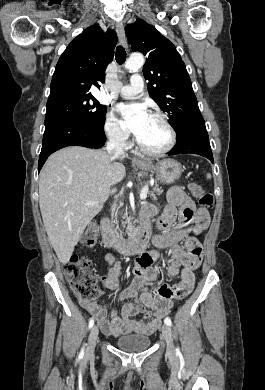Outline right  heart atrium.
<instances>
[{"label":"right heart atrium","mask_w":265,"mask_h":390,"mask_svg":"<svg viewBox=\"0 0 265 390\" xmlns=\"http://www.w3.org/2000/svg\"><path fill=\"white\" fill-rule=\"evenodd\" d=\"M104 131L109 140L116 145L122 148L129 146V133L112 112H108L106 115Z\"/></svg>","instance_id":"d8ad5b80"}]
</instances>
